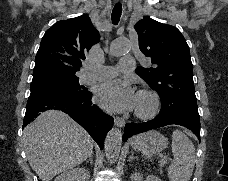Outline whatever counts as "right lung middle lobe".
Listing matches in <instances>:
<instances>
[{
	"label": "right lung middle lobe",
	"instance_id": "obj_1",
	"mask_svg": "<svg viewBox=\"0 0 228 181\" xmlns=\"http://www.w3.org/2000/svg\"><path fill=\"white\" fill-rule=\"evenodd\" d=\"M79 78L75 75L46 77L32 80L31 93L45 90H55L72 96H84L86 88L80 86Z\"/></svg>",
	"mask_w": 228,
	"mask_h": 181
}]
</instances>
